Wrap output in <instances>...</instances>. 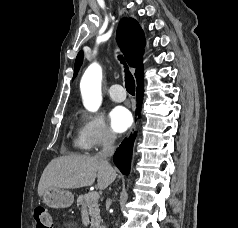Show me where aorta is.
I'll use <instances>...</instances> for the list:
<instances>
[{
  "instance_id": "aorta-1",
  "label": "aorta",
  "mask_w": 238,
  "mask_h": 228,
  "mask_svg": "<svg viewBox=\"0 0 238 228\" xmlns=\"http://www.w3.org/2000/svg\"><path fill=\"white\" fill-rule=\"evenodd\" d=\"M101 81L102 69L99 64L92 63L80 82L84 107L91 112L97 111L102 103Z\"/></svg>"
}]
</instances>
